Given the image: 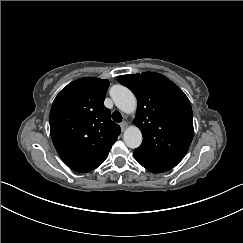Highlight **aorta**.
I'll return each instance as SVG.
<instances>
[{
  "label": "aorta",
  "mask_w": 243,
  "mask_h": 243,
  "mask_svg": "<svg viewBox=\"0 0 243 243\" xmlns=\"http://www.w3.org/2000/svg\"><path fill=\"white\" fill-rule=\"evenodd\" d=\"M109 93L115 106L122 112L129 114L136 110V97L127 87L122 85H113ZM123 139L127 147L135 149L142 143V133L138 127L129 126L124 131Z\"/></svg>",
  "instance_id": "1"
}]
</instances>
